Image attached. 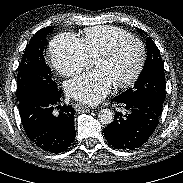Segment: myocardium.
<instances>
[{"mask_svg": "<svg viewBox=\"0 0 183 183\" xmlns=\"http://www.w3.org/2000/svg\"><path fill=\"white\" fill-rule=\"evenodd\" d=\"M128 42H135L140 46V50H141L140 60L138 62L136 69L134 70V72L131 74L130 77H128L127 79L121 82L113 84V87L116 89L126 88L132 85L134 82H136V80L139 78L146 62L147 52H146L145 44L139 38H136L133 36L122 38L112 43L110 46H108L106 49H104L94 57V59L109 58L113 56L124 44Z\"/></svg>", "mask_w": 183, "mask_h": 183, "instance_id": "1", "label": "myocardium"}]
</instances>
